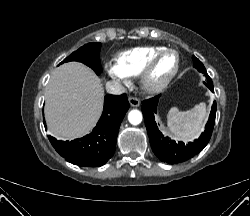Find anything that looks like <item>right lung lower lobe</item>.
I'll return each mask as SVG.
<instances>
[{"label": "right lung lower lobe", "instance_id": "98d812e1", "mask_svg": "<svg viewBox=\"0 0 250 216\" xmlns=\"http://www.w3.org/2000/svg\"><path fill=\"white\" fill-rule=\"evenodd\" d=\"M129 106L126 94L106 95L101 118L90 134L73 141L48 138L68 162L82 167L102 166L114 154L119 127Z\"/></svg>", "mask_w": 250, "mask_h": 216}]
</instances>
